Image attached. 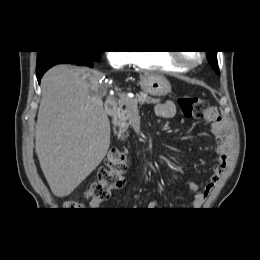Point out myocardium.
<instances>
[{"label":"myocardium","instance_id":"obj_1","mask_svg":"<svg viewBox=\"0 0 260 260\" xmlns=\"http://www.w3.org/2000/svg\"><path fill=\"white\" fill-rule=\"evenodd\" d=\"M197 54H198V58L193 61H189V60L185 59V57L183 56V54L181 52H176V51L170 52L169 57H170V60L176 66L183 68V69H191V68L199 65L204 58L203 52H197Z\"/></svg>","mask_w":260,"mask_h":260}]
</instances>
